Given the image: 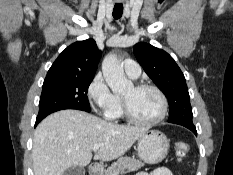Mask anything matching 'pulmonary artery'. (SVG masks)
<instances>
[{"mask_svg":"<svg viewBox=\"0 0 233 175\" xmlns=\"http://www.w3.org/2000/svg\"><path fill=\"white\" fill-rule=\"evenodd\" d=\"M125 73L132 79H137L140 76L141 69L139 64L134 60H125L123 62Z\"/></svg>","mask_w":233,"mask_h":175,"instance_id":"obj_1","label":"pulmonary artery"}]
</instances>
